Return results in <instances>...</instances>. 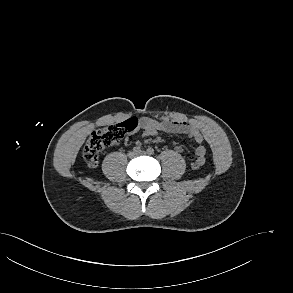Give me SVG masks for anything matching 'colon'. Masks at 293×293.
Instances as JSON below:
<instances>
[{
  "label": "colon",
  "instance_id": "5ec220e1",
  "mask_svg": "<svg viewBox=\"0 0 293 293\" xmlns=\"http://www.w3.org/2000/svg\"><path fill=\"white\" fill-rule=\"evenodd\" d=\"M137 126V121L131 118L124 123L115 124L108 127L97 129L92 133L84 145L82 156L86 164L95 167L98 163L99 154L110 146L120 142L123 137ZM204 157L198 158L193 164L194 169L203 165Z\"/></svg>",
  "mask_w": 293,
  "mask_h": 293
}]
</instances>
